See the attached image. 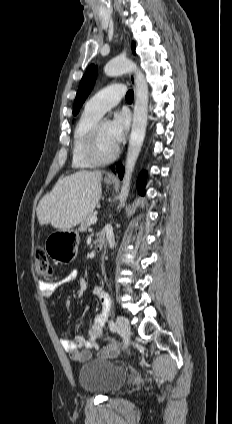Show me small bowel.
<instances>
[{
  "label": "small bowel",
  "instance_id": "small-bowel-1",
  "mask_svg": "<svg viewBox=\"0 0 232 424\" xmlns=\"http://www.w3.org/2000/svg\"><path fill=\"white\" fill-rule=\"evenodd\" d=\"M78 271L72 270L69 272L60 283H70L77 279ZM39 288L44 297H50L56 288V283L51 281H41ZM94 295L99 299L103 309L110 304L109 295L101 286H96L93 290ZM104 312L96 317L92 325L86 333H80L75 337H70L68 334L62 339V347L70 355V357L79 362H85L92 358V350H98L96 338L105 324ZM117 344V343H116ZM119 353V349L110 348L107 345L104 349L100 350L98 354L103 357H112Z\"/></svg>",
  "mask_w": 232,
  "mask_h": 424
}]
</instances>
